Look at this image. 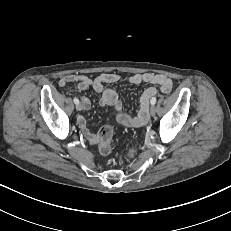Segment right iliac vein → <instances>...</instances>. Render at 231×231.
<instances>
[{"mask_svg":"<svg viewBox=\"0 0 231 231\" xmlns=\"http://www.w3.org/2000/svg\"><path fill=\"white\" fill-rule=\"evenodd\" d=\"M76 109L81 111L83 109V105L81 103L76 104Z\"/></svg>","mask_w":231,"mask_h":231,"instance_id":"63e3f726","label":"right iliac vein"}]
</instances>
